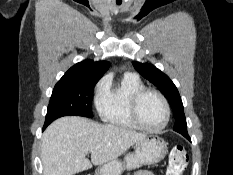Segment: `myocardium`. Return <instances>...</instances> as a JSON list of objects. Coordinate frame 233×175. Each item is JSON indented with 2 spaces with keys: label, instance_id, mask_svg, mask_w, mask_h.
Segmentation results:
<instances>
[{
  "label": "myocardium",
  "instance_id": "myocardium-1",
  "mask_svg": "<svg viewBox=\"0 0 233 175\" xmlns=\"http://www.w3.org/2000/svg\"><path fill=\"white\" fill-rule=\"evenodd\" d=\"M148 93H152V94H155L156 96H158L160 98L163 106H164L165 120H164L163 124L157 128L148 127L147 125H145L142 122V120L139 116L140 100L145 94H148ZM129 112H130L132 120L139 128H141L145 131H148V132H152V133H157V132H160L163 129H165L170 121V116H171L170 105H169L167 98L164 96V94L157 89L148 88V87H143L132 94L131 99H130V103H129Z\"/></svg>",
  "mask_w": 233,
  "mask_h": 175
}]
</instances>
